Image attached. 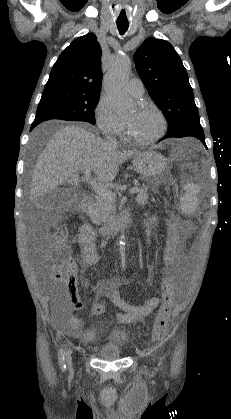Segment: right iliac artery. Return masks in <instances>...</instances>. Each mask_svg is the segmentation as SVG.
<instances>
[{
    "label": "right iliac artery",
    "instance_id": "1",
    "mask_svg": "<svg viewBox=\"0 0 231 419\" xmlns=\"http://www.w3.org/2000/svg\"><path fill=\"white\" fill-rule=\"evenodd\" d=\"M58 356H59L58 358H59L60 367H61L62 371H64L65 368H66V365H65L64 352H63L62 348L59 350V355Z\"/></svg>",
    "mask_w": 231,
    "mask_h": 419
}]
</instances>
